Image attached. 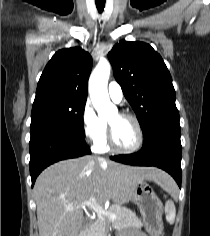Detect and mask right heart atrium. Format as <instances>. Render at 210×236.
I'll use <instances>...</instances> for the list:
<instances>
[{
  "mask_svg": "<svg viewBox=\"0 0 210 236\" xmlns=\"http://www.w3.org/2000/svg\"><path fill=\"white\" fill-rule=\"evenodd\" d=\"M81 126L85 139L93 144L104 138L107 132V123L97 115L89 100L82 110Z\"/></svg>",
  "mask_w": 210,
  "mask_h": 236,
  "instance_id": "1",
  "label": "right heart atrium"
}]
</instances>
